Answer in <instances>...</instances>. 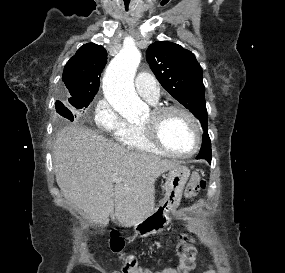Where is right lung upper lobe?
Masks as SVG:
<instances>
[{"label":"right lung upper lobe","instance_id":"cb5924a9","mask_svg":"<svg viewBox=\"0 0 285 273\" xmlns=\"http://www.w3.org/2000/svg\"><path fill=\"white\" fill-rule=\"evenodd\" d=\"M107 62V51L101 45L84 44L66 63L62 80L70 93L69 100L94 98L100 75Z\"/></svg>","mask_w":285,"mask_h":273}]
</instances>
